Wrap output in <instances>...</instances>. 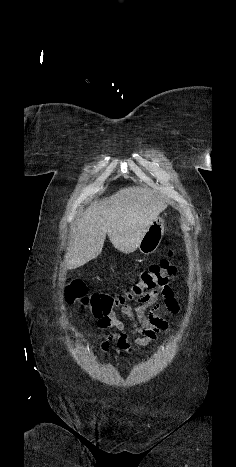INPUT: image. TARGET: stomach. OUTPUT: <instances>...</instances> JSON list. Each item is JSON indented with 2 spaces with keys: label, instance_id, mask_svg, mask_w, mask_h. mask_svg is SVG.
<instances>
[{
  "label": "stomach",
  "instance_id": "0dacf381",
  "mask_svg": "<svg viewBox=\"0 0 236 467\" xmlns=\"http://www.w3.org/2000/svg\"><path fill=\"white\" fill-rule=\"evenodd\" d=\"M164 234V220L157 217L147 228L138 248L142 254L148 255L154 253Z\"/></svg>",
  "mask_w": 236,
  "mask_h": 467
}]
</instances>
